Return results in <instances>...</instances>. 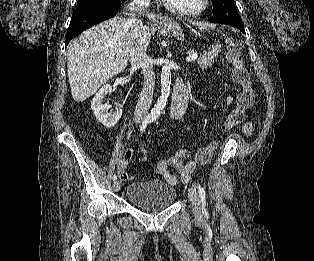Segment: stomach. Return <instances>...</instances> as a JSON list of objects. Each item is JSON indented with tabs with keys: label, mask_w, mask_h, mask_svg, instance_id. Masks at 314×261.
<instances>
[{
	"label": "stomach",
	"mask_w": 314,
	"mask_h": 261,
	"mask_svg": "<svg viewBox=\"0 0 314 261\" xmlns=\"http://www.w3.org/2000/svg\"><path fill=\"white\" fill-rule=\"evenodd\" d=\"M166 31L168 33H171L175 37L179 38L180 40L184 39L183 33L180 30V27L174 22H170L169 26L166 28Z\"/></svg>",
	"instance_id": "obj_1"
}]
</instances>
